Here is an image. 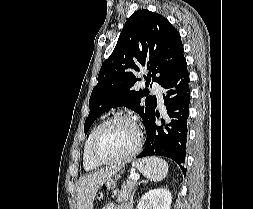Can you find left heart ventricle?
I'll list each match as a JSON object with an SVG mask.
<instances>
[{
    "label": "left heart ventricle",
    "instance_id": "1",
    "mask_svg": "<svg viewBox=\"0 0 253 209\" xmlns=\"http://www.w3.org/2000/svg\"><path fill=\"white\" fill-rule=\"evenodd\" d=\"M135 142L134 126L128 121H114L102 131L97 144V154L105 159L118 158L130 151Z\"/></svg>",
    "mask_w": 253,
    "mask_h": 209
}]
</instances>
